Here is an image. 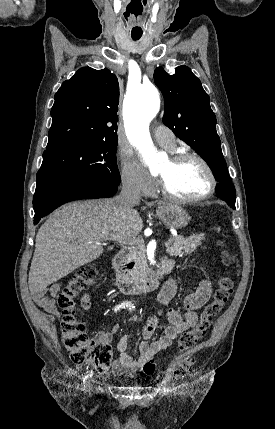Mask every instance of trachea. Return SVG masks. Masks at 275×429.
Masks as SVG:
<instances>
[{
    "instance_id": "3493384b",
    "label": "trachea",
    "mask_w": 275,
    "mask_h": 429,
    "mask_svg": "<svg viewBox=\"0 0 275 429\" xmlns=\"http://www.w3.org/2000/svg\"><path fill=\"white\" fill-rule=\"evenodd\" d=\"M133 39H134V40H138V39H139V37H133Z\"/></svg>"
}]
</instances>
